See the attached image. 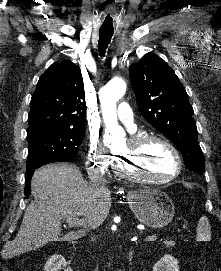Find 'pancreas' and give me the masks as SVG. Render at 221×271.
Listing matches in <instances>:
<instances>
[{"instance_id":"1","label":"pancreas","mask_w":221,"mask_h":271,"mask_svg":"<svg viewBox=\"0 0 221 271\" xmlns=\"http://www.w3.org/2000/svg\"><path fill=\"white\" fill-rule=\"evenodd\" d=\"M157 244H161V247H175L176 239H157Z\"/></svg>"}]
</instances>
